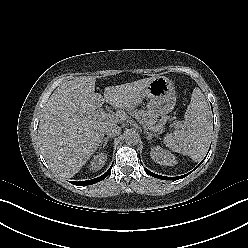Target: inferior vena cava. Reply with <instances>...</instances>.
Listing matches in <instances>:
<instances>
[{"instance_id":"602c4592","label":"inferior vena cava","mask_w":248,"mask_h":248,"mask_svg":"<svg viewBox=\"0 0 248 248\" xmlns=\"http://www.w3.org/2000/svg\"><path fill=\"white\" fill-rule=\"evenodd\" d=\"M104 133L110 137L117 136L121 133V127L117 124H109L105 126Z\"/></svg>"}]
</instances>
